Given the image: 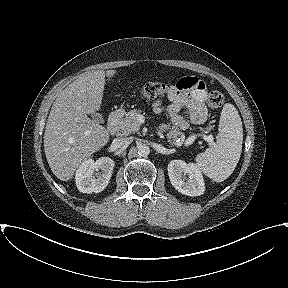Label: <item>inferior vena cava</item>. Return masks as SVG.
Masks as SVG:
<instances>
[{
	"label": "inferior vena cava",
	"instance_id": "1",
	"mask_svg": "<svg viewBox=\"0 0 288 288\" xmlns=\"http://www.w3.org/2000/svg\"><path fill=\"white\" fill-rule=\"evenodd\" d=\"M132 142V139L129 137H120L114 140V143L117 146H128Z\"/></svg>",
	"mask_w": 288,
	"mask_h": 288
}]
</instances>
